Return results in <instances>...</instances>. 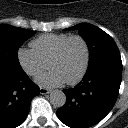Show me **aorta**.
I'll return each instance as SVG.
<instances>
[{"label":"aorta","mask_w":128,"mask_h":128,"mask_svg":"<svg viewBox=\"0 0 128 128\" xmlns=\"http://www.w3.org/2000/svg\"><path fill=\"white\" fill-rule=\"evenodd\" d=\"M66 102V95L61 90H54L50 93V103L57 108L64 106Z\"/></svg>","instance_id":"obj_1"}]
</instances>
